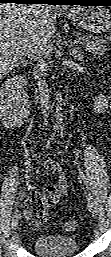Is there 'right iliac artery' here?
<instances>
[{"label":"right iliac artery","instance_id":"obj_1","mask_svg":"<svg viewBox=\"0 0 111 257\" xmlns=\"http://www.w3.org/2000/svg\"><path fill=\"white\" fill-rule=\"evenodd\" d=\"M55 136H56V130L54 129L53 132H52V134L50 135V138H49L48 141L46 142V145L44 146L43 150L49 148V146H50V144H51V140H53ZM19 205H20V200L17 199L16 204H15V210H16V211L18 210L17 208L19 207Z\"/></svg>","mask_w":111,"mask_h":257}]
</instances>
